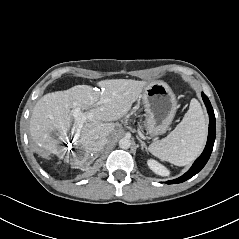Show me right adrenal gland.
Here are the masks:
<instances>
[{"mask_svg":"<svg viewBox=\"0 0 239 239\" xmlns=\"http://www.w3.org/2000/svg\"><path fill=\"white\" fill-rule=\"evenodd\" d=\"M96 158H97V156L93 157V159L91 160V162L94 161Z\"/></svg>","mask_w":239,"mask_h":239,"instance_id":"2a0ac1e0","label":"right adrenal gland"}]
</instances>
